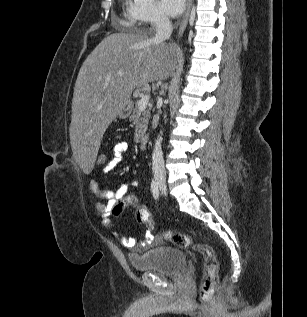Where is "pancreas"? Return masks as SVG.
<instances>
[{
  "label": "pancreas",
  "mask_w": 307,
  "mask_h": 317,
  "mask_svg": "<svg viewBox=\"0 0 307 317\" xmlns=\"http://www.w3.org/2000/svg\"><path fill=\"white\" fill-rule=\"evenodd\" d=\"M150 118V109H144L142 111L138 108V103L132 108V114L129 117L130 121L136 124L134 141L136 143L140 141H145V133L147 131L148 122Z\"/></svg>",
  "instance_id": "cf45deb5"
}]
</instances>
